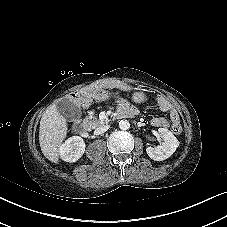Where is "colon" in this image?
Instances as JSON below:
<instances>
[{
    "mask_svg": "<svg viewBox=\"0 0 227 227\" xmlns=\"http://www.w3.org/2000/svg\"><path fill=\"white\" fill-rule=\"evenodd\" d=\"M180 130H181L180 125H175V126L173 127V131H174L176 134H178V133L180 132Z\"/></svg>",
    "mask_w": 227,
    "mask_h": 227,
    "instance_id": "1",
    "label": "colon"
}]
</instances>
